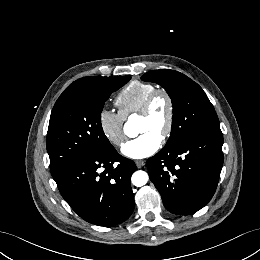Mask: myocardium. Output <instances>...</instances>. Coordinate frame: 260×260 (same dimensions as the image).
Segmentation results:
<instances>
[{
  "instance_id": "myocardium-1",
  "label": "myocardium",
  "mask_w": 260,
  "mask_h": 260,
  "mask_svg": "<svg viewBox=\"0 0 260 260\" xmlns=\"http://www.w3.org/2000/svg\"><path fill=\"white\" fill-rule=\"evenodd\" d=\"M159 96H162L166 99L168 104V114H167V120L166 124L161 132V138L163 140L167 139L174 127V121H175V103L171 96V94L164 88H156L151 93H149L146 98L144 99L139 111V116H148L151 112L152 105L155 101V99Z\"/></svg>"
}]
</instances>
